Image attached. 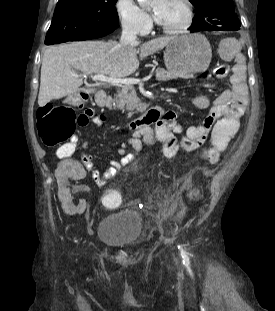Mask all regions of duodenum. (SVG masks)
Listing matches in <instances>:
<instances>
[{
	"label": "duodenum",
	"mask_w": 275,
	"mask_h": 311,
	"mask_svg": "<svg viewBox=\"0 0 275 311\" xmlns=\"http://www.w3.org/2000/svg\"><path fill=\"white\" fill-rule=\"evenodd\" d=\"M96 98H97V101L103 105L109 104L112 101L109 97H107L105 95V93L101 89L98 90ZM162 109H163L162 107H155V108L151 109L149 112H147L142 117H139V118L135 119L134 121H132L129 124V129H136V128L146 126L145 121H146V119H148V114L151 112H154L155 110H162Z\"/></svg>",
	"instance_id": "obj_1"
}]
</instances>
